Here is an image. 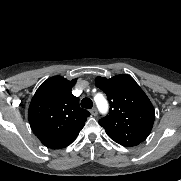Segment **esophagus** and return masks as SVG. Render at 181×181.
<instances>
[{
    "label": "esophagus",
    "mask_w": 181,
    "mask_h": 181,
    "mask_svg": "<svg viewBox=\"0 0 181 181\" xmlns=\"http://www.w3.org/2000/svg\"><path fill=\"white\" fill-rule=\"evenodd\" d=\"M90 113L92 116H96L97 115V109L95 107H93L92 109H90Z\"/></svg>",
    "instance_id": "esophagus-1"
}]
</instances>
